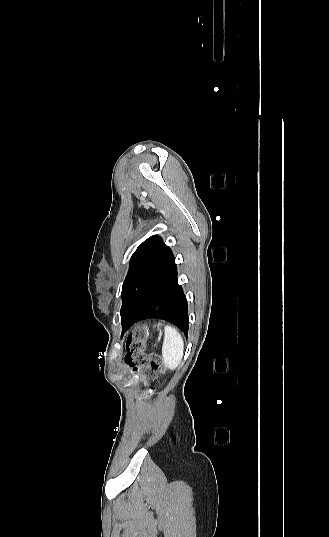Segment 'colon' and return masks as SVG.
I'll return each mask as SVG.
<instances>
[{
    "label": "colon",
    "mask_w": 329,
    "mask_h": 537,
    "mask_svg": "<svg viewBox=\"0 0 329 537\" xmlns=\"http://www.w3.org/2000/svg\"><path fill=\"white\" fill-rule=\"evenodd\" d=\"M147 336L148 333L145 330H135L126 344L125 363L134 373L140 374L143 379L162 372L164 369L162 359L158 354L147 355L145 353Z\"/></svg>",
    "instance_id": "colon-1"
}]
</instances>
